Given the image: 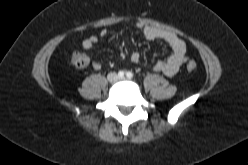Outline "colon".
<instances>
[{
	"label": "colon",
	"mask_w": 248,
	"mask_h": 165,
	"mask_svg": "<svg viewBox=\"0 0 248 165\" xmlns=\"http://www.w3.org/2000/svg\"><path fill=\"white\" fill-rule=\"evenodd\" d=\"M88 63H89L88 57L82 52L76 51L71 56V64L77 69L86 68L88 66ZM186 68L188 71L192 72L196 70L197 64L195 61L190 60L187 62Z\"/></svg>",
	"instance_id": "colon-1"
}]
</instances>
